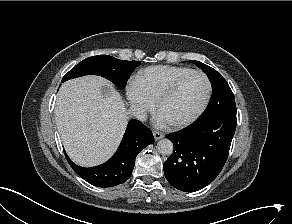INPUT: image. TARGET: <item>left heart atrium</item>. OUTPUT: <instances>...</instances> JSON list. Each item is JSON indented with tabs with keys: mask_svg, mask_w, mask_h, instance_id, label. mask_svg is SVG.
<instances>
[{
	"mask_svg": "<svg viewBox=\"0 0 292 224\" xmlns=\"http://www.w3.org/2000/svg\"><path fill=\"white\" fill-rule=\"evenodd\" d=\"M158 122H159V124H161V125H166V124H168V123L165 121V119H164L162 116H160V115H158Z\"/></svg>",
	"mask_w": 292,
	"mask_h": 224,
	"instance_id": "1",
	"label": "left heart atrium"
}]
</instances>
